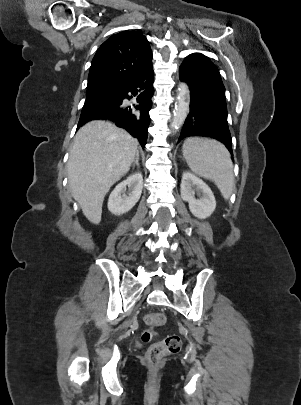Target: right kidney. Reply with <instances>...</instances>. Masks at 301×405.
Returning a JSON list of instances; mask_svg holds the SVG:
<instances>
[{
    "instance_id": "obj_1",
    "label": "right kidney",
    "mask_w": 301,
    "mask_h": 405,
    "mask_svg": "<svg viewBox=\"0 0 301 405\" xmlns=\"http://www.w3.org/2000/svg\"><path fill=\"white\" fill-rule=\"evenodd\" d=\"M129 188V195L125 194ZM143 189V176L141 173H134L126 180L119 183L108 199V210L115 215H121L130 211L140 199Z\"/></svg>"
}]
</instances>
